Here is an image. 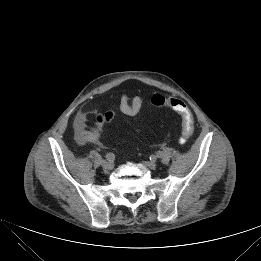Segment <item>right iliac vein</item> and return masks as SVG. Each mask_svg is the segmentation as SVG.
I'll list each match as a JSON object with an SVG mask.
<instances>
[{
  "instance_id": "63e3f726",
  "label": "right iliac vein",
  "mask_w": 261,
  "mask_h": 261,
  "mask_svg": "<svg viewBox=\"0 0 261 261\" xmlns=\"http://www.w3.org/2000/svg\"><path fill=\"white\" fill-rule=\"evenodd\" d=\"M101 165L105 172H108L113 169V164L111 162H107L104 160L102 161Z\"/></svg>"
}]
</instances>
